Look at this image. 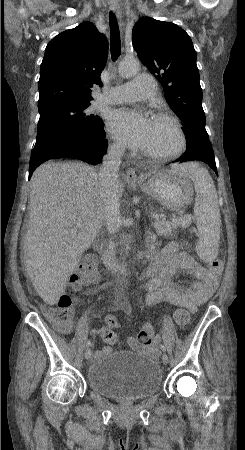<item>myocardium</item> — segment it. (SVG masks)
I'll return each instance as SVG.
<instances>
[{"mask_svg": "<svg viewBox=\"0 0 245 450\" xmlns=\"http://www.w3.org/2000/svg\"><path fill=\"white\" fill-rule=\"evenodd\" d=\"M153 120L169 124L176 132L178 142L177 145L172 150L162 152L144 151L143 152L144 155L157 160H169L184 153V151L187 148V137L178 119L168 112H159L154 115Z\"/></svg>", "mask_w": 245, "mask_h": 450, "instance_id": "1", "label": "myocardium"}]
</instances>
